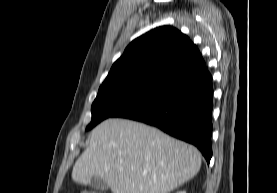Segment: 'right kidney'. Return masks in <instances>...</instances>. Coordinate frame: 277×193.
<instances>
[{"label":"right kidney","instance_id":"1","mask_svg":"<svg viewBox=\"0 0 277 193\" xmlns=\"http://www.w3.org/2000/svg\"><path fill=\"white\" fill-rule=\"evenodd\" d=\"M177 193H186L185 191L177 192Z\"/></svg>","mask_w":277,"mask_h":193}]
</instances>
